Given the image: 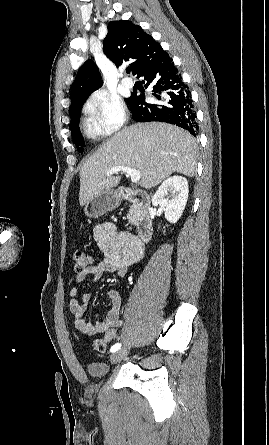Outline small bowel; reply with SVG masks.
Masks as SVG:
<instances>
[{
	"instance_id": "obj_1",
	"label": "small bowel",
	"mask_w": 269,
	"mask_h": 445,
	"mask_svg": "<svg viewBox=\"0 0 269 445\" xmlns=\"http://www.w3.org/2000/svg\"><path fill=\"white\" fill-rule=\"evenodd\" d=\"M93 237L103 258L83 272L76 274L75 281L78 284L83 283L88 277L96 283L104 273H117L119 276H124L133 264L143 258V244L134 235L119 231L113 223L106 222L95 226ZM69 296V312L73 317L74 326L80 333L93 336L104 332L108 341L115 337V328L122 324L120 319L122 298L119 291L108 290L107 297L112 307L102 321H95L94 314H91L89 318L86 317L90 311L89 293L82 292L79 287H73Z\"/></svg>"
}]
</instances>
